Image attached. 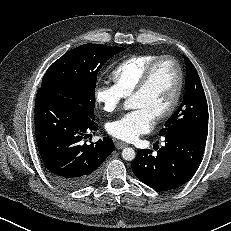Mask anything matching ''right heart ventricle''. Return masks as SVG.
<instances>
[{
  "label": "right heart ventricle",
  "mask_w": 231,
  "mask_h": 231,
  "mask_svg": "<svg viewBox=\"0 0 231 231\" xmlns=\"http://www.w3.org/2000/svg\"><path fill=\"white\" fill-rule=\"evenodd\" d=\"M156 54H143L121 62L112 72L114 85L124 97L131 96L146 67L156 58Z\"/></svg>",
  "instance_id": "obj_1"
}]
</instances>
